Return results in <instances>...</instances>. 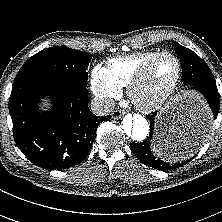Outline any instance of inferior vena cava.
Segmentation results:
<instances>
[{
  "mask_svg": "<svg viewBox=\"0 0 222 222\" xmlns=\"http://www.w3.org/2000/svg\"><path fill=\"white\" fill-rule=\"evenodd\" d=\"M114 101L110 99H94L91 102V110L99 116L108 115L114 109Z\"/></svg>",
  "mask_w": 222,
  "mask_h": 222,
  "instance_id": "1",
  "label": "inferior vena cava"
}]
</instances>
